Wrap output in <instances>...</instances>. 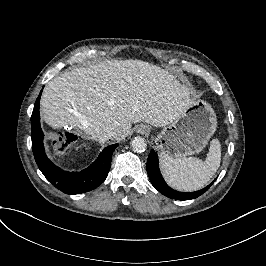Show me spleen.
I'll use <instances>...</instances> for the list:
<instances>
[{
  "label": "spleen",
  "mask_w": 266,
  "mask_h": 266,
  "mask_svg": "<svg viewBox=\"0 0 266 266\" xmlns=\"http://www.w3.org/2000/svg\"><path fill=\"white\" fill-rule=\"evenodd\" d=\"M221 146L216 139L210 142L207 160L198 157L175 158L160 154L162 170L167 182L178 190L194 191L202 188L218 170Z\"/></svg>",
  "instance_id": "3e777b00"
}]
</instances>
